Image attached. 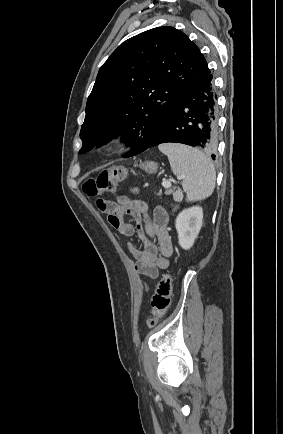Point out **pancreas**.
<instances>
[{
	"mask_svg": "<svg viewBox=\"0 0 283 434\" xmlns=\"http://www.w3.org/2000/svg\"><path fill=\"white\" fill-rule=\"evenodd\" d=\"M166 194H171L174 193V196L176 199H181L182 198V192L181 190H173V189H169L165 192Z\"/></svg>",
	"mask_w": 283,
	"mask_h": 434,
	"instance_id": "1",
	"label": "pancreas"
}]
</instances>
